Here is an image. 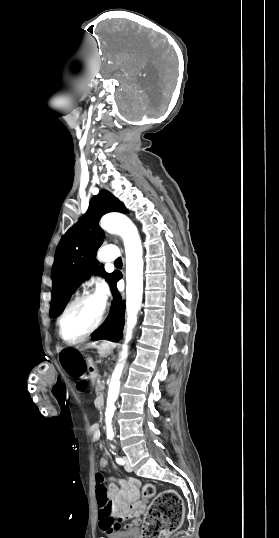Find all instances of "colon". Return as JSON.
<instances>
[{
	"instance_id": "obj_1",
	"label": "colon",
	"mask_w": 279,
	"mask_h": 538,
	"mask_svg": "<svg viewBox=\"0 0 279 538\" xmlns=\"http://www.w3.org/2000/svg\"><path fill=\"white\" fill-rule=\"evenodd\" d=\"M96 499L100 517H111L114 507L104 484L102 473L95 475ZM143 496L152 500L142 527V538H168L181 524L184 513L183 501L174 490H165L156 495L155 487L147 484Z\"/></svg>"
}]
</instances>
